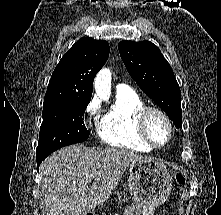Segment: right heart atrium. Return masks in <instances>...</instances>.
<instances>
[{
  "label": "right heart atrium",
  "instance_id": "right-heart-atrium-1",
  "mask_svg": "<svg viewBox=\"0 0 221 215\" xmlns=\"http://www.w3.org/2000/svg\"><path fill=\"white\" fill-rule=\"evenodd\" d=\"M100 108L99 99L94 97L90 100L85 108V114L90 119L96 116Z\"/></svg>",
  "mask_w": 221,
  "mask_h": 215
}]
</instances>
